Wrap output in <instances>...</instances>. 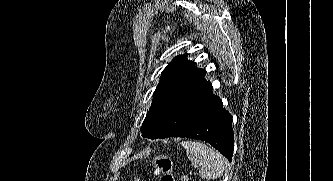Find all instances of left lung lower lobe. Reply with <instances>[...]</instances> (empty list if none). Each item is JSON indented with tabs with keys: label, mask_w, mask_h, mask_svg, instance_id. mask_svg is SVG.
Here are the masks:
<instances>
[{
	"label": "left lung lower lobe",
	"mask_w": 333,
	"mask_h": 181,
	"mask_svg": "<svg viewBox=\"0 0 333 181\" xmlns=\"http://www.w3.org/2000/svg\"><path fill=\"white\" fill-rule=\"evenodd\" d=\"M172 137L198 139L211 144L230 162L232 160L234 137L232 116L223 108L221 99L213 95L211 100L197 112L184 127ZM164 139L155 135L151 139Z\"/></svg>",
	"instance_id": "1"
}]
</instances>
